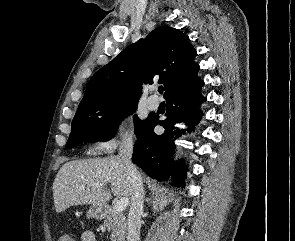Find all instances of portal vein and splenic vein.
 I'll return each mask as SVG.
<instances>
[{"label":"portal vein and splenic vein","mask_w":295,"mask_h":241,"mask_svg":"<svg viewBox=\"0 0 295 241\" xmlns=\"http://www.w3.org/2000/svg\"><path fill=\"white\" fill-rule=\"evenodd\" d=\"M97 187H103V185H97ZM129 205V199L127 197L120 198L119 201H117L116 205L114 206V209L117 212H122L126 209V207Z\"/></svg>","instance_id":"portal-vein-and-splenic-vein-1"}]
</instances>
